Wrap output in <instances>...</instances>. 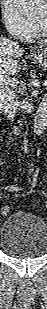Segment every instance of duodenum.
I'll return each instance as SVG.
<instances>
[{
	"instance_id": "obj_1",
	"label": "duodenum",
	"mask_w": 47,
	"mask_h": 309,
	"mask_svg": "<svg viewBox=\"0 0 47 309\" xmlns=\"http://www.w3.org/2000/svg\"><path fill=\"white\" fill-rule=\"evenodd\" d=\"M44 116L43 115H40V117H39V119H38V121H37V129H38V131H40L42 128H43V126H44ZM15 129H16V131L17 132H19V129H18V127H15Z\"/></svg>"
}]
</instances>
